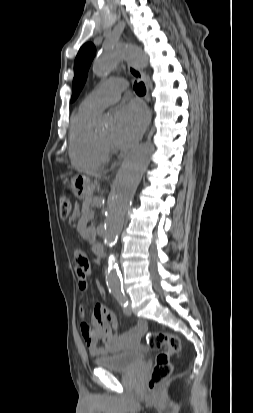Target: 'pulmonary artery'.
<instances>
[{
	"label": "pulmonary artery",
	"instance_id": "obj_1",
	"mask_svg": "<svg viewBox=\"0 0 253 413\" xmlns=\"http://www.w3.org/2000/svg\"><path fill=\"white\" fill-rule=\"evenodd\" d=\"M124 85L120 80H110L91 92L82 102V106L94 112H100L117 102Z\"/></svg>",
	"mask_w": 253,
	"mask_h": 413
}]
</instances>
